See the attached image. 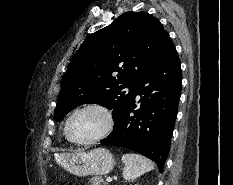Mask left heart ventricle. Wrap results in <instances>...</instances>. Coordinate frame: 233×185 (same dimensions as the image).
Returning a JSON list of instances; mask_svg holds the SVG:
<instances>
[{"instance_id":"b2bd125f","label":"left heart ventricle","mask_w":233,"mask_h":185,"mask_svg":"<svg viewBox=\"0 0 233 185\" xmlns=\"http://www.w3.org/2000/svg\"><path fill=\"white\" fill-rule=\"evenodd\" d=\"M106 125V118L98 110H85L71 120L70 133L77 140H87L99 134Z\"/></svg>"}]
</instances>
